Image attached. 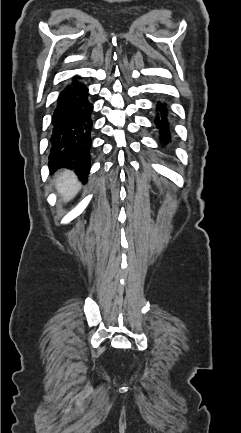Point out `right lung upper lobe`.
Here are the masks:
<instances>
[{
  "label": "right lung upper lobe",
  "instance_id": "cb5924a9",
  "mask_svg": "<svg viewBox=\"0 0 241 433\" xmlns=\"http://www.w3.org/2000/svg\"><path fill=\"white\" fill-rule=\"evenodd\" d=\"M55 150H56V148H54V147L51 148V152H53V151H55Z\"/></svg>",
  "mask_w": 241,
  "mask_h": 433
}]
</instances>
